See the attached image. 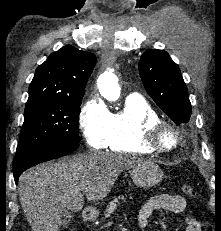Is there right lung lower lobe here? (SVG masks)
I'll use <instances>...</instances> for the list:
<instances>
[{"label": "right lung lower lobe", "mask_w": 221, "mask_h": 231, "mask_svg": "<svg viewBox=\"0 0 221 231\" xmlns=\"http://www.w3.org/2000/svg\"><path fill=\"white\" fill-rule=\"evenodd\" d=\"M77 148L72 146H63V147H46L36 149L32 152L21 157L18 161L14 162L13 172H14V179L15 182H18L19 176L22 174L23 171L26 169L37 165L39 163L56 159L65 155H68L75 151Z\"/></svg>", "instance_id": "obj_1"}]
</instances>
